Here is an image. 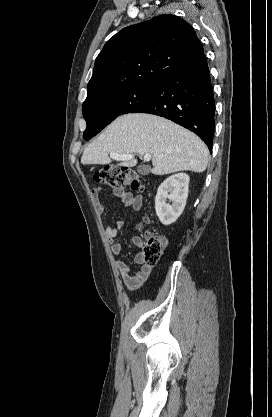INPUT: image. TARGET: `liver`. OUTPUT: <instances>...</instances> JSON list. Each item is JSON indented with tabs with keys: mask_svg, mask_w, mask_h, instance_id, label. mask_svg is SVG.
<instances>
[{
	"mask_svg": "<svg viewBox=\"0 0 272 417\" xmlns=\"http://www.w3.org/2000/svg\"><path fill=\"white\" fill-rule=\"evenodd\" d=\"M110 152L152 155L154 175L178 171L201 173L206 170L209 150L194 133L156 115L127 114L114 120L84 150L83 165L109 164ZM136 159L124 160L119 166L133 167Z\"/></svg>",
	"mask_w": 272,
	"mask_h": 417,
	"instance_id": "6515ba94",
	"label": "liver"
}]
</instances>
